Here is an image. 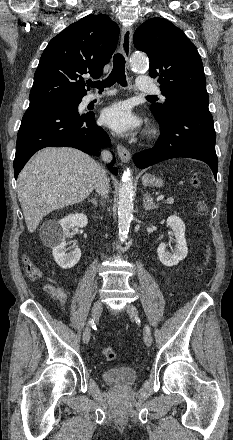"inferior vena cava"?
Wrapping results in <instances>:
<instances>
[{"mask_svg": "<svg viewBox=\"0 0 233 440\" xmlns=\"http://www.w3.org/2000/svg\"><path fill=\"white\" fill-rule=\"evenodd\" d=\"M102 158L105 162H109L112 156L109 151H103ZM95 189L99 195H101L103 198H107L109 190V179L107 178L105 169L102 167L100 169V173L95 184Z\"/></svg>", "mask_w": 233, "mask_h": 440, "instance_id": "obj_1", "label": "inferior vena cava"}]
</instances>
